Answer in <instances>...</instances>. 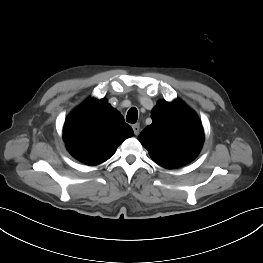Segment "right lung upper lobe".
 <instances>
[{
	"label": "right lung upper lobe",
	"mask_w": 263,
	"mask_h": 263,
	"mask_svg": "<svg viewBox=\"0 0 263 263\" xmlns=\"http://www.w3.org/2000/svg\"><path fill=\"white\" fill-rule=\"evenodd\" d=\"M132 135V128L106 99L85 101L70 113L63 128L68 151L90 166L108 160L117 147Z\"/></svg>",
	"instance_id": "cb5924a9"
}]
</instances>
